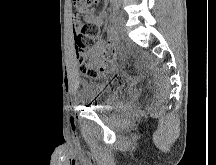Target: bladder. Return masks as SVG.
<instances>
[{"label":"bladder","instance_id":"bladder-1","mask_svg":"<svg viewBox=\"0 0 216 165\" xmlns=\"http://www.w3.org/2000/svg\"><path fill=\"white\" fill-rule=\"evenodd\" d=\"M121 80V76H95V81H88L86 100H94V111H109L115 101L113 97L120 96Z\"/></svg>","mask_w":216,"mask_h":165}]
</instances>
